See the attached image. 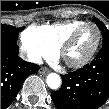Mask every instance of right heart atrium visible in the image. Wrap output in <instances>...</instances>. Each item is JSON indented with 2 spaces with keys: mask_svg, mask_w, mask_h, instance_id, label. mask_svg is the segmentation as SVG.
Segmentation results:
<instances>
[{
  "mask_svg": "<svg viewBox=\"0 0 109 109\" xmlns=\"http://www.w3.org/2000/svg\"><path fill=\"white\" fill-rule=\"evenodd\" d=\"M22 53L32 62H39L43 58H51L56 49L43 36L23 32L20 36Z\"/></svg>",
  "mask_w": 109,
  "mask_h": 109,
  "instance_id": "obj_1",
  "label": "right heart atrium"
}]
</instances>
